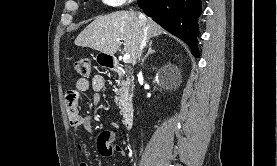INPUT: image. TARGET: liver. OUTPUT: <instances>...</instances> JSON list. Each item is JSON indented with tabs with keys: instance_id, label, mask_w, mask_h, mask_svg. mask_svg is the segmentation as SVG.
Here are the masks:
<instances>
[{
	"instance_id": "obj_1",
	"label": "liver",
	"mask_w": 277,
	"mask_h": 166,
	"mask_svg": "<svg viewBox=\"0 0 277 166\" xmlns=\"http://www.w3.org/2000/svg\"><path fill=\"white\" fill-rule=\"evenodd\" d=\"M143 28H147V39L163 32L152 19L145 17L140 20L139 14L134 11H117L97 17L77 36L75 45L113 56L121 45L117 41L120 39L124 41V50L130 54V61L135 65L144 35Z\"/></svg>"
}]
</instances>
